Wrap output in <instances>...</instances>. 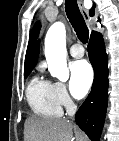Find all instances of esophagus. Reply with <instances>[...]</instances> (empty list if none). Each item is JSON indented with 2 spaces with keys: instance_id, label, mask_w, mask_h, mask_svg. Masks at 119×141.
I'll return each instance as SVG.
<instances>
[{
  "instance_id": "esophagus-1",
  "label": "esophagus",
  "mask_w": 119,
  "mask_h": 141,
  "mask_svg": "<svg viewBox=\"0 0 119 141\" xmlns=\"http://www.w3.org/2000/svg\"><path fill=\"white\" fill-rule=\"evenodd\" d=\"M78 4H79L80 12H81L82 16L84 17L85 21L90 23L91 22V18H90L89 14H88L87 9L83 5V1L82 0H78Z\"/></svg>"
}]
</instances>
